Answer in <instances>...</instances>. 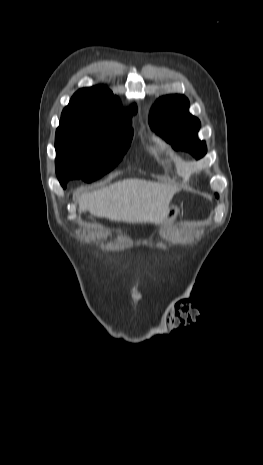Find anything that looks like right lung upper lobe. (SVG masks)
Segmentation results:
<instances>
[{
    "label": "right lung upper lobe",
    "mask_w": 263,
    "mask_h": 465,
    "mask_svg": "<svg viewBox=\"0 0 263 465\" xmlns=\"http://www.w3.org/2000/svg\"><path fill=\"white\" fill-rule=\"evenodd\" d=\"M136 107L124 112L118 97L106 87L94 86L78 90L71 98L62 115H81L110 122H130Z\"/></svg>",
    "instance_id": "1"
}]
</instances>
